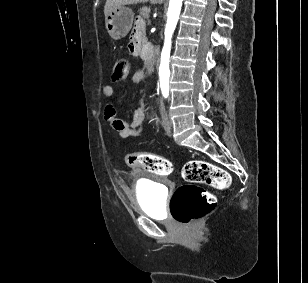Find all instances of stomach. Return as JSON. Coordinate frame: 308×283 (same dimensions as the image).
<instances>
[{"label":"stomach","instance_id":"0dacf381","mask_svg":"<svg viewBox=\"0 0 308 283\" xmlns=\"http://www.w3.org/2000/svg\"><path fill=\"white\" fill-rule=\"evenodd\" d=\"M134 13L125 5L112 10L105 18V26L114 40L124 38L130 31L133 23Z\"/></svg>","mask_w":308,"mask_h":283}]
</instances>
